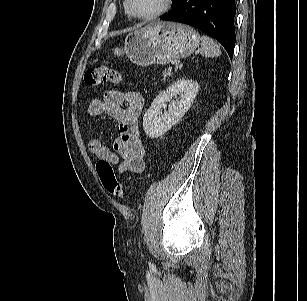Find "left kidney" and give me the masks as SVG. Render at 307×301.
Returning a JSON list of instances; mask_svg holds the SVG:
<instances>
[{"instance_id":"obj_1","label":"left kidney","mask_w":307,"mask_h":301,"mask_svg":"<svg viewBox=\"0 0 307 301\" xmlns=\"http://www.w3.org/2000/svg\"><path fill=\"white\" fill-rule=\"evenodd\" d=\"M199 85L189 79H178L165 91L161 92L152 102L143 117V129L150 138H158L171 129L191 107ZM179 95V98H176ZM170 102L168 111L162 113L161 108Z\"/></svg>"}]
</instances>
